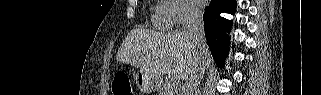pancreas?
I'll return each instance as SVG.
<instances>
[{"label": "pancreas", "mask_w": 321, "mask_h": 95, "mask_svg": "<svg viewBox=\"0 0 321 95\" xmlns=\"http://www.w3.org/2000/svg\"><path fill=\"white\" fill-rule=\"evenodd\" d=\"M160 92L162 95H176L177 90L167 83L160 88Z\"/></svg>", "instance_id": "cf45deb5"}]
</instances>
